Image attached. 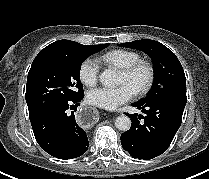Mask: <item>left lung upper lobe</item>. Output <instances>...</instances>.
Listing matches in <instances>:
<instances>
[{
	"label": "left lung upper lobe",
	"mask_w": 209,
	"mask_h": 179,
	"mask_svg": "<svg viewBox=\"0 0 209 179\" xmlns=\"http://www.w3.org/2000/svg\"><path fill=\"white\" fill-rule=\"evenodd\" d=\"M145 52L155 67V78L149 94L138 101L148 103L173 95H186V78L176 55L160 42L154 40H136L119 44Z\"/></svg>",
	"instance_id": "obj_1"
}]
</instances>
